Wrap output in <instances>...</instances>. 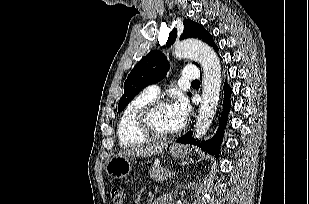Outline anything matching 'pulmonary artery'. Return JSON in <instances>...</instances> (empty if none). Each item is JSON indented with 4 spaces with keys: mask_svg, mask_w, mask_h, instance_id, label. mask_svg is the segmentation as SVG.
Here are the masks:
<instances>
[{
    "mask_svg": "<svg viewBox=\"0 0 309 204\" xmlns=\"http://www.w3.org/2000/svg\"><path fill=\"white\" fill-rule=\"evenodd\" d=\"M181 76L184 80H196L199 77V71L196 68L186 67L183 69ZM145 91L148 94L157 97L160 89L157 85H150Z\"/></svg>",
    "mask_w": 309,
    "mask_h": 204,
    "instance_id": "e3ab8cb5",
    "label": "pulmonary artery"
}]
</instances>
